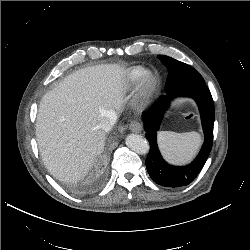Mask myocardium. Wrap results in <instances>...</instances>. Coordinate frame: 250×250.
I'll use <instances>...</instances> for the list:
<instances>
[{
  "label": "myocardium",
  "mask_w": 250,
  "mask_h": 250,
  "mask_svg": "<svg viewBox=\"0 0 250 250\" xmlns=\"http://www.w3.org/2000/svg\"><path fill=\"white\" fill-rule=\"evenodd\" d=\"M157 78L151 71H145L140 77L136 87L135 99L138 105L145 103L155 92Z\"/></svg>",
  "instance_id": "1"
}]
</instances>
